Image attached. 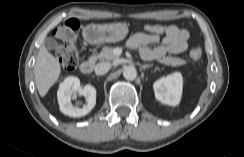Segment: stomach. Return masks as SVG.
Segmentation results:
<instances>
[{
    "mask_svg": "<svg viewBox=\"0 0 244 157\" xmlns=\"http://www.w3.org/2000/svg\"><path fill=\"white\" fill-rule=\"evenodd\" d=\"M129 32L126 23L89 24L83 36L90 44L115 43L123 40Z\"/></svg>",
    "mask_w": 244,
    "mask_h": 157,
    "instance_id": "stomach-1",
    "label": "stomach"
}]
</instances>
